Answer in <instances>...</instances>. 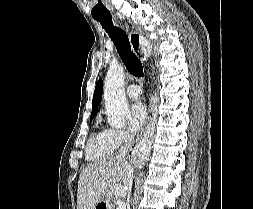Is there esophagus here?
I'll list each match as a JSON object with an SVG mask.
<instances>
[{"label":"esophagus","mask_w":253,"mask_h":209,"mask_svg":"<svg viewBox=\"0 0 253 209\" xmlns=\"http://www.w3.org/2000/svg\"><path fill=\"white\" fill-rule=\"evenodd\" d=\"M130 41H131V45L133 50H135L134 47L138 46V49H140V45H141V35L135 31H131L130 32ZM136 51V50H135ZM155 121V107H154V103L152 101H150L149 104V116H148V121H147V125L145 127V129L141 132V134L136 138L135 140V144L137 145V143L146 135L147 130L153 126ZM134 150H135V146H131L128 156L129 158H131V160H133V156H134Z\"/></svg>","instance_id":"esophagus-1"}]
</instances>
